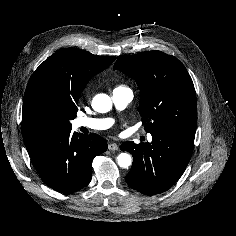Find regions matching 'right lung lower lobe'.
Masks as SVG:
<instances>
[{"instance_id": "right-lung-lower-lobe-1", "label": "right lung lower lobe", "mask_w": 236, "mask_h": 236, "mask_svg": "<svg viewBox=\"0 0 236 236\" xmlns=\"http://www.w3.org/2000/svg\"><path fill=\"white\" fill-rule=\"evenodd\" d=\"M25 146L41 179L64 194L76 192L90 182L93 159L108 147L95 133L79 137L71 130L33 137Z\"/></svg>"}]
</instances>
